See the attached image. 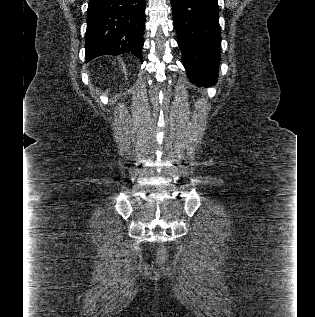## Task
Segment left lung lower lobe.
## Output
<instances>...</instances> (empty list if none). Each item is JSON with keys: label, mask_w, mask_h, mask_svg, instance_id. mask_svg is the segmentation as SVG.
<instances>
[{"label": "left lung lower lobe", "mask_w": 315, "mask_h": 317, "mask_svg": "<svg viewBox=\"0 0 315 317\" xmlns=\"http://www.w3.org/2000/svg\"><path fill=\"white\" fill-rule=\"evenodd\" d=\"M171 6L189 79L199 85L215 84L221 59L217 0H171Z\"/></svg>", "instance_id": "left-lung-lower-lobe-1"}]
</instances>
